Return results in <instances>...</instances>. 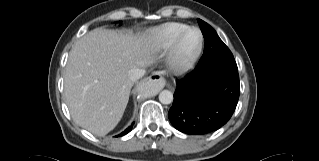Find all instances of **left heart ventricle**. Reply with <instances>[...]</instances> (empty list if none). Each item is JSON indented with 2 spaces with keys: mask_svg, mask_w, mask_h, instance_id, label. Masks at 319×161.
I'll list each match as a JSON object with an SVG mask.
<instances>
[{
  "mask_svg": "<svg viewBox=\"0 0 319 161\" xmlns=\"http://www.w3.org/2000/svg\"><path fill=\"white\" fill-rule=\"evenodd\" d=\"M199 33L196 30L189 31L182 39L179 46V54L182 58L190 56L199 43Z\"/></svg>",
  "mask_w": 319,
  "mask_h": 161,
  "instance_id": "obj_1",
  "label": "left heart ventricle"
}]
</instances>
